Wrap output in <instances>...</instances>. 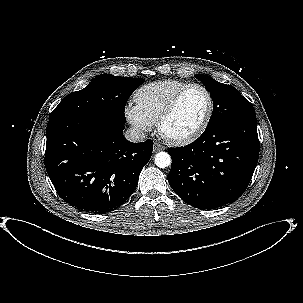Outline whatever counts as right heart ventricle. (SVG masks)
Masks as SVG:
<instances>
[{
	"instance_id": "right-heart-ventricle-1",
	"label": "right heart ventricle",
	"mask_w": 303,
	"mask_h": 303,
	"mask_svg": "<svg viewBox=\"0 0 303 303\" xmlns=\"http://www.w3.org/2000/svg\"><path fill=\"white\" fill-rule=\"evenodd\" d=\"M188 84L180 80H164L144 85L135 93L136 106L154 124L172 98Z\"/></svg>"
}]
</instances>
